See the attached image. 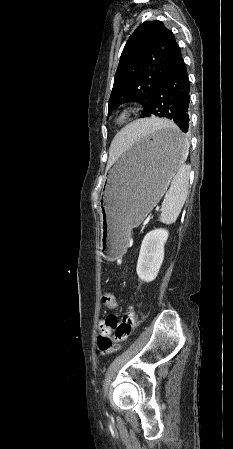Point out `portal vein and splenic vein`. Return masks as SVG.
Instances as JSON below:
<instances>
[{
  "label": "portal vein and splenic vein",
  "instance_id": "portal-vein-and-splenic-vein-1",
  "mask_svg": "<svg viewBox=\"0 0 233 449\" xmlns=\"http://www.w3.org/2000/svg\"><path fill=\"white\" fill-rule=\"evenodd\" d=\"M160 210V207L159 206H157L156 208H155V211H159Z\"/></svg>",
  "mask_w": 233,
  "mask_h": 449
}]
</instances>
